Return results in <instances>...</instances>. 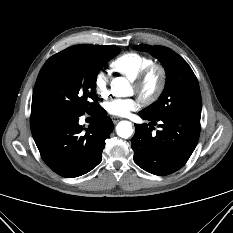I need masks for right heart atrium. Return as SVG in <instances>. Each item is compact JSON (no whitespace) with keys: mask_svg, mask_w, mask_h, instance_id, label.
<instances>
[{"mask_svg":"<svg viewBox=\"0 0 233 233\" xmlns=\"http://www.w3.org/2000/svg\"><path fill=\"white\" fill-rule=\"evenodd\" d=\"M108 86V74L103 70L98 71L94 77V88L96 93L102 98L107 97L109 92Z\"/></svg>","mask_w":233,"mask_h":233,"instance_id":"1","label":"right heart atrium"}]
</instances>
